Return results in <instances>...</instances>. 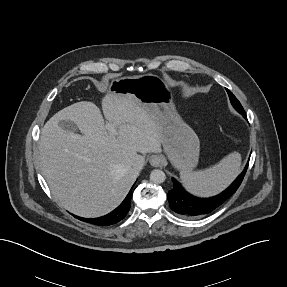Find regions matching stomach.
I'll return each instance as SVG.
<instances>
[{"mask_svg":"<svg viewBox=\"0 0 287 287\" xmlns=\"http://www.w3.org/2000/svg\"><path fill=\"white\" fill-rule=\"evenodd\" d=\"M107 95L132 96L157 123L164 151L178 170L192 171L198 164L200 142L178 114L170 87L155 74L114 78Z\"/></svg>","mask_w":287,"mask_h":287,"instance_id":"stomach-1","label":"stomach"}]
</instances>
